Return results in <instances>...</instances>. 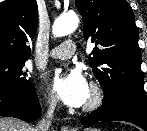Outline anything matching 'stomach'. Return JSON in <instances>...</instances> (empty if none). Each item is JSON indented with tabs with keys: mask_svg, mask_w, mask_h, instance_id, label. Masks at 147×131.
<instances>
[{
	"mask_svg": "<svg viewBox=\"0 0 147 131\" xmlns=\"http://www.w3.org/2000/svg\"><path fill=\"white\" fill-rule=\"evenodd\" d=\"M84 131H98V130L95 128H86V129H84Z\"/></svg>",
	"mask_w": 147,
	"mask_h": 131,
	"instance_id": "obj_1",
	"label": "stomach"
}]
</instances>
